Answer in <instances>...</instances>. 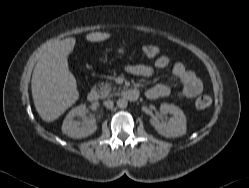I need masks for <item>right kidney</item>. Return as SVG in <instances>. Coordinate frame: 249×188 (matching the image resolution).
Returning a JSON list of instances; mask_svg holds the SVG:
<instances>
[{
  "mask_svg": "<svg viewBox=\"0 0 249 188\" xmlns=\"http://www.w3.org/2000/svg\"><path fill=\"white\" fill-rule=\"evenodd\" d=\"M87 112L86 105L81 104L73 108L66 116L62 124V132L72 138H84L93 134L97 130V123L95 119H89L80 127V122L75 121L74 118L82 116Z\"/></svg>",
  "mask_w": 249,
  "mask_h": 188,
  "instance_id": "right-kidney-1",
  "label": "right kidney"
}]
</instances>
